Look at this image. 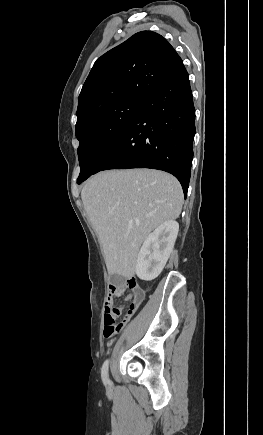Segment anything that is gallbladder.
<instances>
[{
    "instance_id": "gallbladder-1",
    "label": "gallbladder",
    "mask_w": 263,
    "mask_h": 435,
    "mask_svg": "<svg viewBox=\"0 0 263 435\" xmlns=\"http://www.w3.org/2000/svg\"><path fill=\"white\" fill-rule=\"evenodd\" d=\"M124 280H125V278L123 276H120V275H117V274H113V275L110 276V282L113 285H116V286L122 285Z\"/></svg>"
}]
</instances>
